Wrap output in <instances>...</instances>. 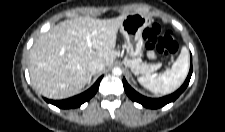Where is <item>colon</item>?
Here are the masks:
<instances>
[{
    "label": "colon",
    "mask_w": 225,
    "mask_h": 132,
    "mask_svg": "<svg viewBox=\"0 0 225 132\" xmlns=\"http://www.w3.org/2000/svg\"><path fill=\"white\" fill-rule=\"evenodd\" d=\"M147 48H155L166 56L173 55L178 50V41L171 30H162L158 24H151L143 31Z\"/></svg>",
    "instance_id": "obj_1"
}]
</instances>
